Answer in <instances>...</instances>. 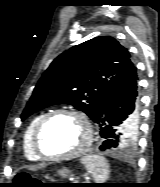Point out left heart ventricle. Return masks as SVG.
Returning a JSON list of instances; mask_svg holds the SVG:
<instances>
[{"label":"left heart ventricle","mask_w":160,"mask_h":187,"mask_svg":"<svg viewBox=\"0 0 160 187\" xmlns=\"http://www.w3.org/2000/svg\"><path fill=\"white\" fill-rule=\"evenodd\" d=\"M86 138L85 126L77 117L61 115L44 129L42 148L51 154H66L81 147Z\"/></svg>","instance_id":"1"}]
</instances>
